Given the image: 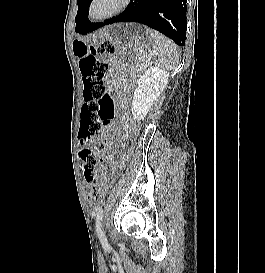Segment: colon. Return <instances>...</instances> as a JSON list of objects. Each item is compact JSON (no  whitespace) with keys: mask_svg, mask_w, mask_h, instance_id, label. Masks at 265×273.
Segmentation results:
<instances>
[{"mask_svg":"<svg viewBox=\"0 0 265 273\" xmlns=\"http://www.w3.org/2000/svg\"><path fill=\"white\" fill-rule=\"evenodd\" d=\"M113 54L115 45L110 40L103 41L97 49L80 59L83 78L84 105L79 127V151L85 180L93 186L90 199L95 201L102 195V182L105 180L108 165L100 161L97 153L105 150L107 142L97 137L114 117V103L107 94L104 77L108 65L96 58L95 53Z\"/></svg>","mask_w":265,"mask_h":273,"instance_id":"obj_1","label":"colon"}]
</instances>
